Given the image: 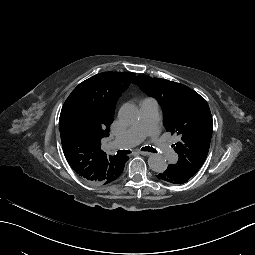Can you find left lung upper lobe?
Returning <instances> with one entry per match:
<instances>
[{"instance_id":"1","label":"left lung upper lobe","mask_w":255,"mask_h":255,"mask_svg":"<svg viewBox=\"0 0 255 255\" xmlns=\"http://www.w3.org/2000/svg\"><path fill=\"white\" fill-rule=\"evenodd\" d=\"M133 83L161 105L165 128L180 138L174 146L179 159L170 165L191 178L206 160L212 137L213 121L206 100L189 87L165 79L140 75Z\"/></svg>"}]
</instances>
